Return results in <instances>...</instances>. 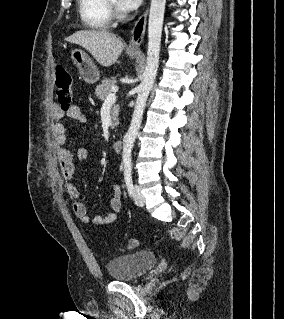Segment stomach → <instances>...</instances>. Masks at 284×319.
<instances>
[{
	"instance_id": "obj_1",
	"label": "stomach",
	"mask_w": 284,
	"mask_h": 319,
	"mask_svg": "<svg viewBox=\"0 0 284 319\" xmlns=\"http://www.w3.org/2000/svg\"><path fill=\"white\" fill-rule=\"evenodd\" d=\"M130 58L137 57L135 53H128ZM71 58L78 68L80 76L87 83H95L99 79V71L90 57L81 49H74Z\"/></svg>"
}]
</instances>
